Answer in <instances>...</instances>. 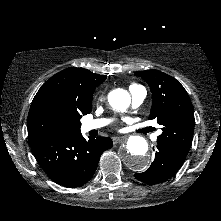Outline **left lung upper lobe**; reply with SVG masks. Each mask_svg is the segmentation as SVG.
<instances>
[{
	"instance_id": "5c2ea615",
	"label": "left lung upper lobe",
	"mask_w": 221,
	"mask_h": 221,
	"mask_svg": "<svg viewBox=\"0 0 221 221\" xmlns=\"http://www.w3.org/2000/svg\"><path fill=\"white\" fill-rule=\"evenodd\" d=\"M150 86L153 104L149 119H157L162 134L157 145L165 149L179 164L191 148L194 132V111L190 97L175 78L157 70L138 71Z\"/></svg>"
}]
</instances>
